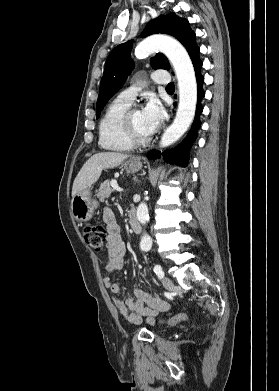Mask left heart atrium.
Returning <instances> with one entry per match:
<instances>
[{
  "mask_svg": "<svg viewBox=\"0 0 279 391\" xmlns=\"http://www.w3.org/2000/svg\"><path fill=\"white\" fill-rule=\"evenodd\" d=\"M147 128L153 133L164 119V109L155 98H150L142 110Z\"/></svg>",
  "mask_w": 279,
  "mask_h": 391,
  "instance_id": "39dd6f15",
  "label": "left heart atrium"
}]
</instances>
